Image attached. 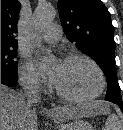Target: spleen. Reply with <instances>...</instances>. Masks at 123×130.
<instances>
[{
    "label": "spleen",
    "instance_id": "3e777b00",
    "mask_svg": "<svg viewBox=\"0 0 123 130\" xmlns=\"http://www.w3.org/2000/svg\"><path fill=\"white\" fill-rule=\"evenodd\" d=\"M103 130H123L122 123L116 114H109Z\"/></svg>",
    "mask_w": 123,
    "mask_h": 130
}]
</instances>
